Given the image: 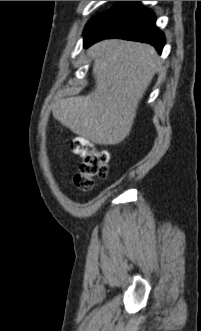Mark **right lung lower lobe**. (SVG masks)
Listing matches in <instances>:
<instances>
[{
  "label": "right lung lower lobe",
  "instance_id": "right-lung-lower-lobe-1",
  "mask_svg": "<svg viewBox=\"0 0 201 331\" xmlns=\"http://www.w3.org/2000/svg\"><path fill=\"white\" fill-rule=\"evenodd\" d=\"M107 38H122L146 42L161 54L165 44L164 34L156 26L152 10L138 1H118L84 32V48Z\"/></svg>",
  "mask_w": 201,
  "mask_h": 331
}]
</instances>
